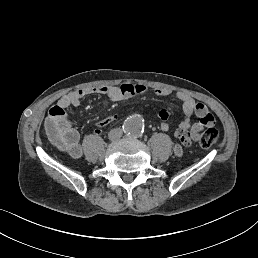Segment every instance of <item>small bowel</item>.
<instances>
[{"mask_svg":"<svg viewBox=\"0 0 258 258\" xmlns=\"http://www.w3.org/2000/svg\"><path fill=\"white\" fill-rule=\"evenodd\" d=\"M148 91V88L141 84L125 83L119 86H99L79 89L61 97L58 102L52 106L48 112L45 121V129L50 141L61 151L68 153L72 158H79L82 155L79 132L72 127L67 109L69 107H78L83 98L90 94H103L112 101H121L133 95L142 94ZM152 92L158 96H172L182 103L184 119L178 124L175 136L180 142L174 146V153L181 156L182 146H190L200 138V132L206 127H213L216 123L215 118L209 112L208 108L201 102H197L193 97L184 92L174 93L167 88H154ZM161 120L160 127L163 131H168L170 126L167 122L170 113L166 108L159 110ZM196 116L199 120L191 124V117ZM119 118L117 114L109 115L97 123L96 133Z\"/></svg>","mask_w":258,"mask_h":258,"instance_id":"c3829d8e","label":"small bowel"}]
</instances>
